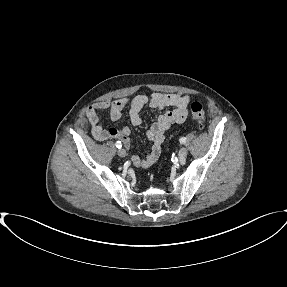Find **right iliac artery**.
I'll return each mask as SVG.
<instances>
[{
	"mask_svg": "<svg viewBox=\"0 0 287 287\" xmlns=\"http://www.w3.org/2000/svg\"><path fill=\"white\" fill-rule=\"evenodd\" d=\"M116 147L119 148V149L122 147V144H121L120 141H117V142H116Z\"/></svg>",
	"mask_w": 287,
	"mask_h": 287,
	"instance_id": "obj_1",
	"label": "right iliac artery"
}]
</instances>
